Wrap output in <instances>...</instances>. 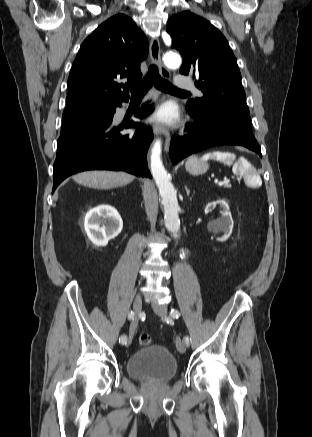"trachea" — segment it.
Listing matches in <instances>:
<instances>
[{"mask_svg": "<svg viewBox=\"0 0 312 437\" xmlns=\"http://www.w3.org/2000/svg\"><path fill=\"white\" fill-rule=\"evenodd\" d=\"M154 85L157 89L168 93L190 94L185 90L174 87L169 81L163 79L156 65H151L144 79L131 88L132 97L142 96Z\"/></svg>", "mask_w": 312, "mask_h": 437, "instance_id": "obj_1", "label": "trachea"}]
</instances>
